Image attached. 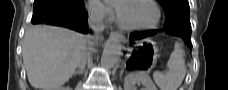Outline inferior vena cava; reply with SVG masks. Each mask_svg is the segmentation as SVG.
<instances>
[{
    "label": "inferior vena cava",
    "mask_w": 228,
    "mask_h": 90,
    "mask_svg": "<svg viewBox=\"0 0 228 90\" xmlns=\"http://www.w3.org/2000/svg\"><path fill=\"white\" fill-rule=\"evenodd\" d=\"M104 12L102 8L98 5L90 6L89 8V17H88V24L91 30L94 33H99L104 30ZM89 39V43L94 39L93 36H87ZM86 66V55L85 52L83 53L82 57L79 60L78 67L79 69H84Z\"/></svg>",
    "instance_id": "inferior-vena-cava-1"
}]
</instances>
